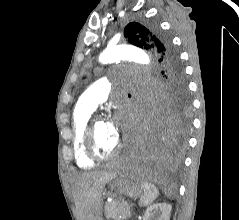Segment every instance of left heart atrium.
Instances as JSON below:
<instances>
[{"label":"left heart atrium","mask_w":239,"mask_h":220,"mask_svg":"<svg viewBox=\"0 0 239 220\" xmlns=\"http://www.w3.org/2000/svg\"><path fill=\"white\" fill-rule=\"evenodd\" d=\"M128 111V107H125L124 109L119 110L112 120L110 121V124L112 126V129L116 135L119 137V128L127 129L130 127V122L132 121V118L130 116H126V113Z\"/></svg>","instance_id":"left-heart-atrium-1"}]
</instances>
